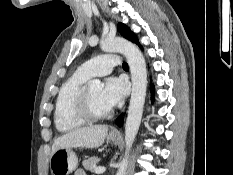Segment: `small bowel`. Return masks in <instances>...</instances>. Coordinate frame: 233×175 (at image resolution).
Returning <instances> with one entry per match:
<instances>
[{
	"mask_svg": "<svg viewBox=\"0 0 233 175\" xmlns=\"http://www.w3.org/2000/svg\"><path fill=\"white\" fill-rule=\"evenodd\" d=\"M74 175H86L82 169H78L75 171Z\"/></svg>",
	"mask_w": 233,
	"mask_h": 175,
	"instance_id": "small-bowel-1",
	"label": "small bowel"
}]
</instances>
